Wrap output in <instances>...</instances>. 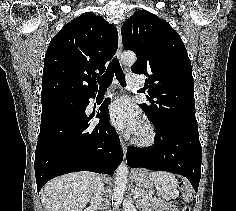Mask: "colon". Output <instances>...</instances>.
Segmentation results:
<instances>
[{
	"label": "colon",
	"instance_id": "5ec220e1",
	"mask_svg": "<svg viewBox=\"0 0 236 211\" xmlns=\"http://www.w3.org/2000/svg\"><path fill=\"white\" fill-rule=\"evenodd\" d=\"M180 189L182 190V193H183V198L186 200V201H190L191 200V193L190 191L188 190V186L185 182H181L180 185H179ZM183 211H189L187 208H185Z\"/></svg>",
	"mask_w": 236,
	"mask_h": 211
}]
</instances>
